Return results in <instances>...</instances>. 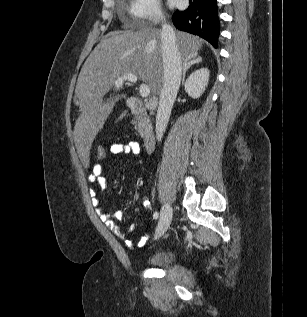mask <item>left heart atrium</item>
<instances>
[{"label":"left heart atrium","mask_w":307,"mask_h":317,"mask_svg":"<svg viewBox=\"0 0 307 317\" xmlns=\"http://www.w3.org/2000/svg\"><path fill=\"white\" fill-rule=\"evenodd\" d=\"M171 3H172V4H176V3H177V0H171Z\"/></svg>","instance_id":"obj_1"}]
</instances>
